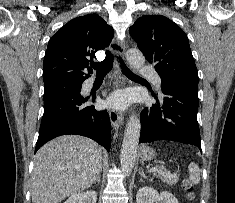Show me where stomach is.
I'll list each match as a JSON object with an SVG mask.
<instances>
[{
    "label": "stomach",
    "mask_w": 235,
    "mask_h": 203,
    "mask_svg": "<svg viewBox=\"0 0 235 203\" xmlns=\"http://www.w3.org/2000/svg\"><path fill=\"white\" fill-rule=\"evenodd\" d=\"M156 156L155 150L150 147H143L141 150V158L143 160H151Z\"/></svg>",
    "instance_id": "1"
}]
</instances>
